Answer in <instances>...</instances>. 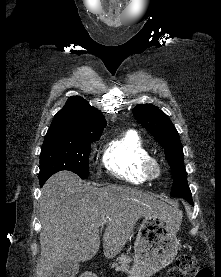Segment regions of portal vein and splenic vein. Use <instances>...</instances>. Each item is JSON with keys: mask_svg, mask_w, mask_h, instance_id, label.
I'll return each instance as SVG.
<instances>
[{"mask_svg": "<svg viewBox=\"0 0 221 277\" xmlns=\"http://www.w3.org/2000/svg\"><path fill=\"white\" fill-rule=\"evenodd\" d=\"M105 221H106V220H103V221L101 222V225H103Z\"/></svg>", "mask_w": 221, "mask_h": 277, "instance_id": "18ae733b", "label": "portal vein and splenic vein"}]
</instances>
